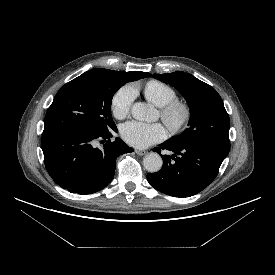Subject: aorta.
<instances>
[{
    "instance_id": "762f6f07",
    "label": "aorta",
    "mask_w": 275,
    "mask_h": 275,
    "mask_svg": "<svg viewBox=\"0 0 275 275\" xmlns=\"http://www.w3.org/2000/svg\"><path fill=\"white\" fill-rule=\"evenodd\" d=\"M131 113L139 121H150L156 118L155 108L144 102H136L131 108ZM143 165L148 172L155 173L161 169L163 160L158 153L151 152L144 157Z\"/></svg>"
}]
</instances>
